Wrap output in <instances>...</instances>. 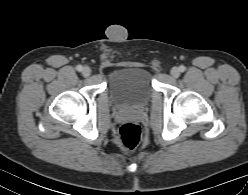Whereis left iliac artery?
<instances>
[{
	"mask_svg": "<svg viewBox=\"0 0 248 195\" xmlns=\"http://www.w3.org/2000/svg\"><path fill=\"white\" fill-rule=\"evenodd\" d=\"M185 66H183V65H181L180 67H179V70L181 71V72H184L185 71Z\"/></svg>",
	"mask_w": 248,
	"mask_h": 195,
	"instance_id": "obj_1",
	"label": "left iliac artery"
}]
</instances>
